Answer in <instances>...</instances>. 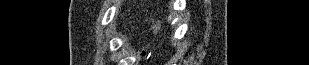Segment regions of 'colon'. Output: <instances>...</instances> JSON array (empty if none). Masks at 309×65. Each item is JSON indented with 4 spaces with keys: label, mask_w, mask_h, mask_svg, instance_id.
I'll use <instances>...</instances> for the list:
<instances>
[{
    "label": "colon",
    "mask_w": 309,
    "mask_h": 65,
    "mask_svg": "<svg viewBox=\"0 0 309 65\" xmlns=\"http://www.w3.org/2000/svg\"><path fill=\"white\" fill-rule=\"evenodd\" d=\"M152 21V30L155 31L158 28V21L156 19H151Z\"/></svg>",
    "instance_id": "obj_1"
}]
</instances>
